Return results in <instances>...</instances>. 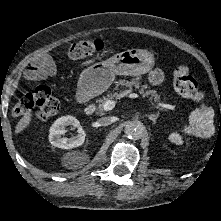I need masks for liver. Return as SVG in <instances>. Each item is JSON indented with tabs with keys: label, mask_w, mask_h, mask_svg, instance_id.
<instances>
[{
	"label": "liver",
	"mask_w": 221,
	"mask_h": 221,
	"mask_svg": "<svg viewBox=\"0 0 221 221\" xmlns=\"http://www.w3.org/2000/svg\"><path fill=\"white\" fill-rule=\"evenodd\" d=\"M93 61H94V59H93V60L86 61V62H84V63L82 64V66H83V65H87V64H89V63H91V62H93ZM31 120H32V115H31V114H26V115H25L24 117H22V118L20 119V121L18 122V124H17V126H16V129H15V132H16L17 134L20 133V132H22L24 129H26V128L29 126Z\"/></svg>",
	"instance_id": "1"
}]
</instances>
